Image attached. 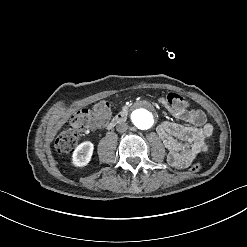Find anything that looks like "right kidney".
<instances>
[{"mask_svg": "<svg viewBox=\"0 0 247 247\" xmlns=\"http://www.w3.org/2000/svg\"><path fill=\"white\" fill-rule=\"evenodd\" d=\"M94 144L90 141L81 142L73 151L71 163L74 167L87 166L93 155Z\"/></svg>", "mask_w": 247, "mask_h": 247, "instance_id": "right-kidney-1", "label": "right kidney"}]
</instances>
